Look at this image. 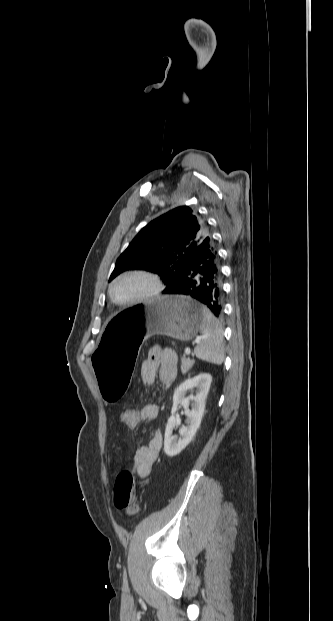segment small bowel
Wrapping results in <instances>:
<instances>
[{
    "label": "small bowel",
    "mask_w": 333,
    "mask_h": 621,
    "mask_svg": "<svg viewBox=\"0 0 333 621\" xmlns=\"http://www.w3.org/2000/svg\"><path fill=\"white\" fill-rule=\"evenodd\" d=\"M177 375V354L170 348L153 347L141 367L144 384H151L158 376L160 382L169 387ZM157 415L155 405H147L141 409V421L152 420ZM163 437L160 431L151 434L146 445L137 447L133 457V474L140 478L150 475L153 465L162 446Z\"/></svg>",
    "instance_id": "c3829d8e"
}]
</instances>
